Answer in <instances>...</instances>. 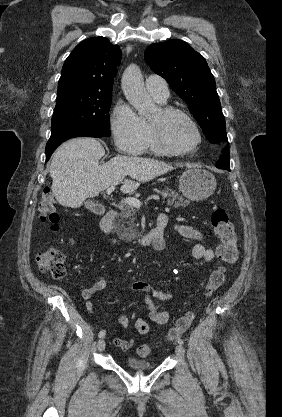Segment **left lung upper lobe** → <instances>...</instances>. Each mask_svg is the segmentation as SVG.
Here are the masks:
<instances>
[{
	"mask_svg": "<svg viewBox=\"0 0 282 417\" xmlns=\"http://www.w3.org/2000/svg\"><path fill=\"white\" fill-rule=\"evenodd\" d=\"M145 60L188 103L206 138L216 145L227 143L225 119L215 80L206 60L181 40L148 46Z\"/></svg>",
	"mask_w": 282,
	"mask_h": 417,
	"instance_id": "5c2ea615",
	"label": "left lung upper lobe"
}]
</instances>
